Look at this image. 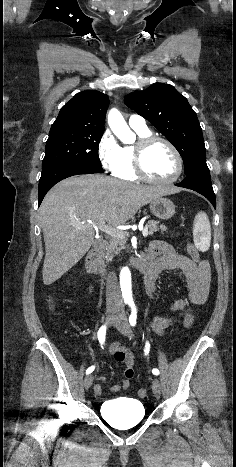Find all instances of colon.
Returning <instances> with one entry per match:
<instances>
[{
	"label": "colon",
	"instance_id": "1",
	"mask_svg": "<svg viewBox=\"0 0 236 467\" xmlns=\"http://www.w3.org/2000/svg\"><path fill=\"white\" fill-rule=\"evenodd\" d=\"M186 249H187V252L188 254L190 255V257L195 260V261H199L200 260V256H199V252L197 250V248L190 242H187L186 243ZM193 324V317L191 315H187L185 320H184V326L186 328H190ZM124 358V355L121 353V352H118L116 355H115V359L116 360H121ZM146 393L145 389H141L139 391V396H144Z\"/></svg>",
	"mask_w": 236,
	"mask_h": 467
}]
</instances>
